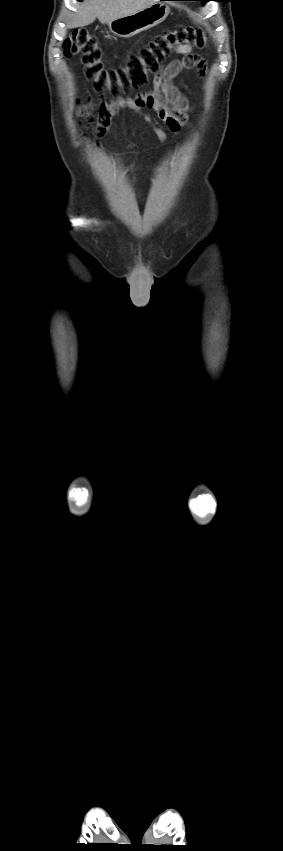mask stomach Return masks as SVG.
Masks as SVG:
<instances>
[{
	"label": "stomach",
	"mask_w": 283,
	"mask_h": 851,
	"mask_svg": "<svg viewBox=\"0 0 283 851\" xmlns=\"http://www.w3.org/2000/svg\"><path fill=\"white\" fill-rule=\"evenodd\" d=\"M169 12V6L157 0L154 4L134 14L111 21L108 26L115 36L130 38L160 24L169 15Z\"/></svg>",
	"instance_id": "0dacf381"
}]
</instances>
